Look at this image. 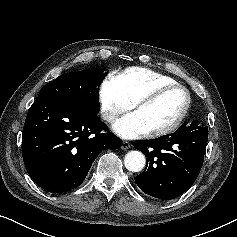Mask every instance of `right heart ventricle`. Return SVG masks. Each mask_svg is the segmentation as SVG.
I'll list each match as a JSON object with an SVG mask.
<instances>
[{"instance_id": "right-heart-ventricle-1", "label": "right heart ventricle", "mask_w": 237, "mask_h": 237, "mask_svg": "<svg viewBox=\"0 0 237 237\" xmlns=\"http://www.w3.org/2000/svg\"><path fill=\"white\" fill-rule=\"evenodd\" d=\"M113 77L133 104L158 86L177 83L165 74L140 67L127 68Z\"/></svg>"}]
</instances>
